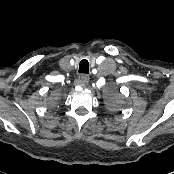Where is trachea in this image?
<instances>
[{
  "instance_id": "3493384b",
  "label": "trachea",
  "mask_w": 174,
  "mask_h": 174,
  "mask_svg": "<svg viewBox=\"0 0 174 174\" xmlns=\"http://www.w3.org/2000/svg\"><path fill=\"white\" fill-rule=\"evenodd\" d=\"M79 72L80 73H89V62L86 59H83L79 64Z\"/></svg>"
}]
</instances>
